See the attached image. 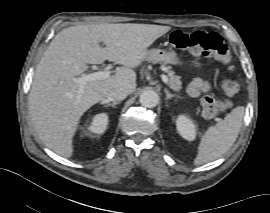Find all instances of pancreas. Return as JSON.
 <instances>
[{"label": "pancreas", "instance_id": "1", "mask_svg": "<svg viewBox=\"0 0 270 213\" xmlns=\"http://www.w3.org/2000/svg\"><path fill=\"white\" fill-rule=\"evenodd\" d=\"M167 73L170 88L176 92L180 91L182 88V82L180 81L179 76L175 75L174 71L170 70L169 68Z\"/></svg>", "mask_w": 270, "mask_h": 213}]
</instances>
